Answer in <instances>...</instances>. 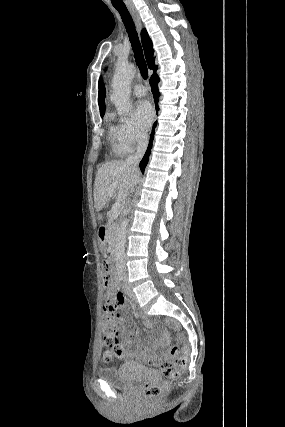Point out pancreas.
Wrapping results in <instances>:
<instances>
[{
    "instance_id": "obj_1",
    "label": "pancreas",
    "mask_w": 285,
    "mask_h": 427,
    "mask_svg": "<svg viewBox=\"0 0 285 427\" xmlns=\"http://www.w3.org/2000/svg\"><path fill=\"white\" fill-rule=\"evenodd\" d=\"M114 216L110 217V222L108 225V241L110 243L114 242V236L117 232V224L114 222Z\"/></svg>"
}]
</instances>
